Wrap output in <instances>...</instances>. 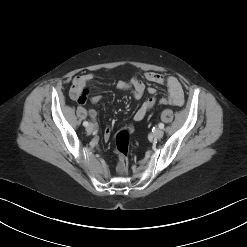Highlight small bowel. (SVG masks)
<instances>
[{
  "instance_id": "small-bowel-1",
  "label": "small bowel",
  "mask_w": 247,
  "mask_h": 247,
  "mask_svg": "<svg viewBox=\"0 0 247 247\" xmlns=\"http://www.w3.org/2000/svg\"><path fill=\"white\" fill-rule=\"evenodd\" d=\"M144 77L148 82L155 84H165L168 89L169 99L172 105L181 106L184 103L183 88L180 81L175 76L164 77L163 75L156 72H146ZM93 79V74H83L74 77L70 90L71 97L81 104L84 103L86 96L85 98H82V95L86 90V86ZM116 86L118 89L129 91L136 99L142 98L145 92H148L150 95H154L156 93V89L154 87H146L145 83L136 77H133L129 80H119ZM100 99L101 96L95 95L91 98V101L93 103H97L98 101H100ZM154 104V97L151 96L147 98L136 110L134 114V120H143L148 112L151 110V108L154 106ZM89 115L92 118H96L97 111L95 109H90ZM110 136L111 129L107 127L103 135L104 140L107 141Z\"/></svg>"
}]
</instances>
